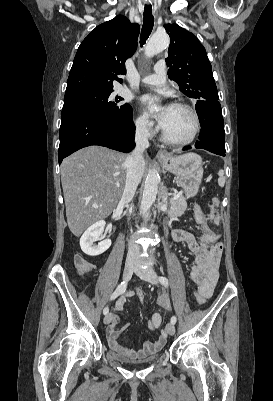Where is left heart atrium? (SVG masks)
<instances>
[{
	"label": "left heart atrium",
	"mask_w": 273,
	"mask_h": 401,
	"mask_svg": "<svg viewBox=\"0 0 273 401\" xmlns=\"http://www.w3.org/2000/svg\"><path fill=\"white\" fill-rule=\"evenodd\" d=\"M141 105L144 108L145 112L148 115H151L155 117L158 122L161 124V126L164 125L166 122V119L169 115V112L172 108L171 105H164L162 106L158 111L153 110V107L155 105L156 98L151 95H144L141 97Z\"/></svg>",
	"instance_id": "1"
}]
</instances>
